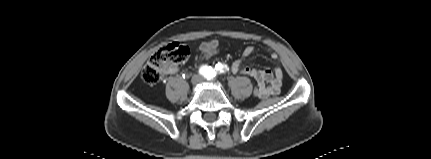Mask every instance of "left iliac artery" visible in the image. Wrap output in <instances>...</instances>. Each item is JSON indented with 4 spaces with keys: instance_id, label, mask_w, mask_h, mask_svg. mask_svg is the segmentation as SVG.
Here are the masks:
<instances>
[{
    "instance_id": "1",
    "label": "left iliac artery",
    "mask_w": 431,
    "mask_h": 159,
    "mask_svg": "<svg viewBox=\"0 0 431 159\" xmlns=\"http://www.w3.org/2000/svg\"><path fill=\"white\" fill-rule=\"evenodd\" d=\"M226 69H227V66L226 65H222L221 63H218L216 66H215V70H214V72L212 73V77L211 78H213L215 75H216V73L217 72H220V73H224L225 71H226ZM210 78V79H211ZM208 79V78H207Z\"/></svg>"
}]
</instances>
